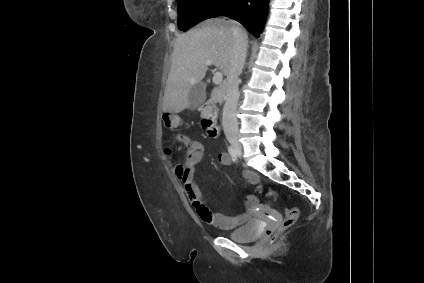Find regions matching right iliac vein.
<instances>
[{"mask_svg":"<svg viewBox=\"0 0 424 283\" xmlns=\"http://www.w3.org/2000/svg\"><path fill=\"white\" fill-rule=\"evenodd\" d=\"M228 141L230 142V144L234 148L236 154L241 156L242 155V146H241V144L238 140V137L236 135H230V136H228Z\"/></svg>","mask_w":424,"mask_h":283,"instance_id":"obj_1","label":"right iliac vein"}]
</instances>
